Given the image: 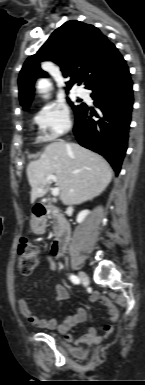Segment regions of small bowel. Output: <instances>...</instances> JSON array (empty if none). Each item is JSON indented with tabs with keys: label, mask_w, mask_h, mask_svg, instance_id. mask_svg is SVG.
Wrapping results in <instances>:
<instances>
[{
	"label": "small bowel",
	"mask_w": 145,
	"mask_h": 385,
	"mask_svg": "<svg viewBox=\"0 0 145 385\" xmlns=\"http://www.w3.org/2000/svg\"><path fill=\"white\" fill-rule=\"evenodd\" d=\"M46 260L49 263L51 271H55L56 264L53 262L51 257H47ZM55 290L57 302H63L68 298L69 293L63 285L59 283L56 284ZM90 300L106 306L109 310L108 320L110 323L104 326L103 335L101 336L98 335L97 330L94 327H90L83 335L77 338L73 337V328L78 323H81L86 319L87 314L84 308H79L77 312L67 317L62 323H59L56 318L46 319L34 315L23 297H20L18 300V309L21 315L31 324L47 330H57L60 334L65 336L66 341L72 342L76 346L83 344L90 345L100 343L101 341L107 339L112 334L114 329L112 323L116 322L119 316L117 306L108 297L98 293H93L90 296Z\"/></svg>",
	"instance_id": "obj_1"
}]
</instances>
